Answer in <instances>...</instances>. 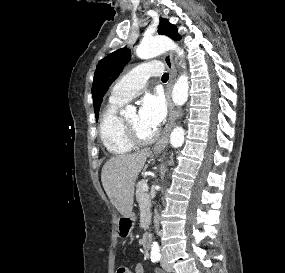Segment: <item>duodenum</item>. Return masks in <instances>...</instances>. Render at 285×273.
Returning <instances> with one entry per match:
<instances>
[{
	"label": "duodenum",
	"instance_id": "410a0bca",
	"mask_svg": "<svg viewBox=\"0 0 285 273\" xmlns=\"http://www.w3.org/2000/svg\"><path fill=\"white\" fill-rule=\"evenodd\" d=\"M150 234L148 232L144 233L143 234V237H142V244H143V248L145 250H148L149 247H150Z\"/></svg>",
	"mask_w": 285,
	"mask_h": 273
}]
</instances>
